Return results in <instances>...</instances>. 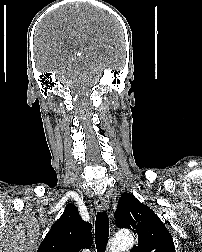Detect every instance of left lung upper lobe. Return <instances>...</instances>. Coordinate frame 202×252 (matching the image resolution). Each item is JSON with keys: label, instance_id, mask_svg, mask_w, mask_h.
<instances>
[{"label": "left lung upper lobe", "instance_id": "5c2ea615", "mask_svg": "<svg viewBox=\"0 0 202 252\" xmlns=\"http://www.w3.org/2000/svg\"><path fill=\"white\" fill-rule=\"evenodd\" d=\"M118 228H130L137 244L130 252H175L173 238L159 217L134 195L124 192L115 212Z\"/></svg>", "mask_w": 202, "mask_h": 252}]
</instances>
